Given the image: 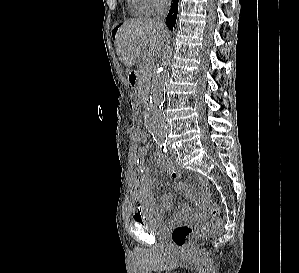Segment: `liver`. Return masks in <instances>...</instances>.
<instances>
[{
	"label": "liver",
	"mask_w": 299,
	"mask_h": 273,
	"mask_svg": "<svg viewBox=\"0 0 299 273\" xmlns=\"http://www.w3.org/2000/svg\"><path fill=\"white\" fill-rule=\"evenodd\" d=\"M167 38L166 28L154 19H131L118 29L114 44L119 59L129 69L143 53L149 58L156 57Z\"/></svg>",
	"instance_id": "6515ba94"
}]
</instances>
